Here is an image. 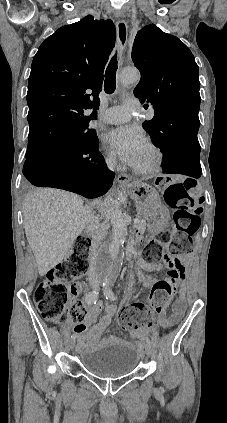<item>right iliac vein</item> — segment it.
Listing matches in <instances>:
<instances>
[{"instance_id":"1","label":"right iliac vein","mask_w":227,"mask_h":423,"mask_svg":"<svg viewBox=\"0 0 227 423\" xmlns=\"http://www.w3.org/2000/svg\"><path fill=\"white\" fill-rule=\"evenodd\" d=\"M75 346V339H71L70 341H69V347L70 348H73Z\"/></svg>"}]
</instances>
